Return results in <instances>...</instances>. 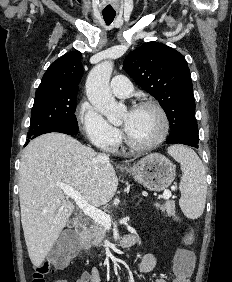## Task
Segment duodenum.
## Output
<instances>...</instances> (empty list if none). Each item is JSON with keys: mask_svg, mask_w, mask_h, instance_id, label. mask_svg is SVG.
Instances as JSON below:
<instances>
[{"mask_svg": "<svg viewBox=\"0 0 232 282\" xmlns=\"http://www.w3.org/2000/svg\"><path fill=\"white\" fill-rule=\"evenodd\" d=\"M76 235L77 239L79 241L80 248L83 250H87V241H86V236H87V227L85 224H78L76 226ZM135 243V238L132 235H125L120 238L118 241V245L124 248L131 247Z\"/></svg>", "mask_w": 232, "mask_h": 282, "instance_id": "410a0bca", "label": "duodenum"}]
</instances>
